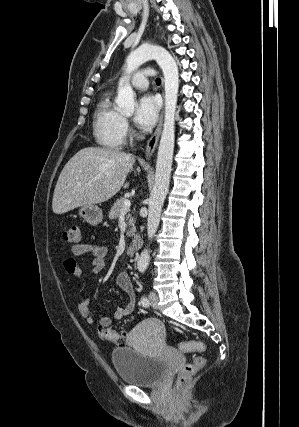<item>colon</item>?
Listing matches in <instances>:
<instances>
[{
  "mask_svg": "<svg viewBox=\"0 0 299 427\" xmlns=\"http://www.w3.org/2000/svg\"><path fill=\"white\" fill-rule=\"evenodd\" d=\"M63 238L65 242L71 245H78L80 242V228L78 226L69 227L64 231ZM98 334L101 338L116 344H122L125 342L124 333L110 328L100 327ZM179 348L183 352H202L205 350V345L200 341H186L182 342L179 345ZM205 363L206 360L203 356H197L192 363L185 364L178 373L176 380L177 389L183 390L196 373L204 367Z\"/></svg>",
  "mask_w": 299,
  "mask_h": 427,
  "instance_id": "1",
  "label": "colon"
}]
</instances>
